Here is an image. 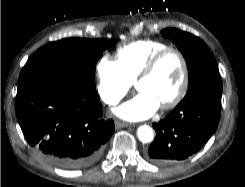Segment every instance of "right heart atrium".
Returning a JSON list of instances; mask_svg holds the SVG:
<instances>
[{
  "label": "right heart atrium",
  "mask_w": 245,
  "mask_h": 187,
  "mask_svg": "<svg viewBox=\"0 0 245 187\" xmlns=\"http://www.w3.org/2000/svg\"><path fill=\"white\" fill-rule=\"evenodd\" d=\"M96 75L97 94L107 106L118 104L131 87L118 63L108 55L102 56L97 61Z\"/></svg>",
  "instance_id": "right-heart-atrium-1"
}]
</instances>
